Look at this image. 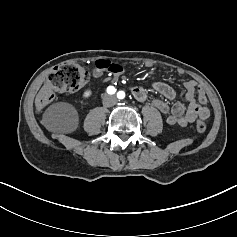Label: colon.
Listing matches in <instances>:
<instances>
[{
  "mask_svg": "<svg viewBox=\"0 0 237 237\" xmlns=\"http://www.w3.org/2000/svg\"><path fill=\"white\" fill-rule=\"evenodd\" d=\"M95 70L100 73H108L112 77H118L124 72V68L109 60H98ZM91 73L84 67L73 63H64L56 66L49 73L46 82L40 89L36 98V108L44 110L57 97L58 93L75 92L82 88L90 79ZM196 129L199 133L206 131V124L198 120Z\"/></svg>",
  "mask_w": 237,
  "mask_h": 237,
  "instance_id": "obj_1",
  "label": "colon"
}]
</instances>
